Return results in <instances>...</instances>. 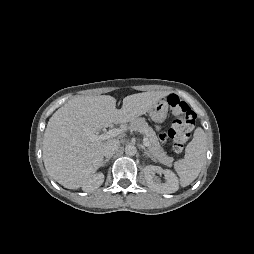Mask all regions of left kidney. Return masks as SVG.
<instances>
[{"label": "left kidney", "mask_w": 254, "mask_h": 254, "mask_svg": "<svg viewBox=\"0 0 254 254\" xmlns=\"http://www.w3.org/2000/svg\"><path fill=\"white\" fill-rule=\"evenodd\" d=\"M156 173L164 174L165 182L158 180ZM144 175L148 187L157 193L170 194L179 188L178 178L171 170H163L158 166L148 165L144 168Z\"/></svg>", "instance_id": "5707ae66"}]
</instances>
